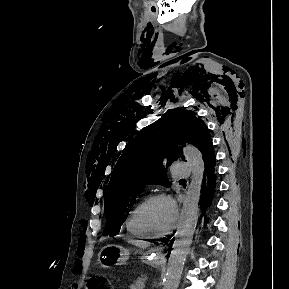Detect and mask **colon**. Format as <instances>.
Returning a JSON list of instances; mask_svg holds the SVG:
<instances>
[{
	"instance_id": "1",
	"label": "colon",
	"mask_w": 289,
	"mask_h": 289,
	"mask_svg": "<svg viewBox=\"0 0 289 289\" xmlns=\"http://www.w3.org/2000/svg\"><path fill=\"white\" fill-rule=\"evenodd\" d=\"M86 289H108V287L104 278L95 276L88 281Z\"/></svg>"
}]
</instances>
